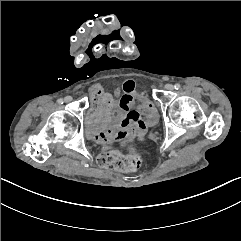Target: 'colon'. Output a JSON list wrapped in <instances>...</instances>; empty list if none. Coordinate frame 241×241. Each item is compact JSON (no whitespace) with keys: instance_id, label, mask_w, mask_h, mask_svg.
I'll use <instances>...</instances> for the list:
<instances>
[{"instance_id":"5ec220e1","label":"colon","mask_w":241,"mask_h":241,"mask_svg":"<svg viewBox=\"0 0 241 241\" xmlns=\"http://www.w3.org/2000/svg\"><path fill=\"white\" fill-rule=\"evenodd\" d=\"M135 152L141 154V149L137 147ZM97 165L102 168L114 170H128L139 166L141 159L135 154H123L115 150L100 153L96 159Z\"/></svg>"}]
</instances>
